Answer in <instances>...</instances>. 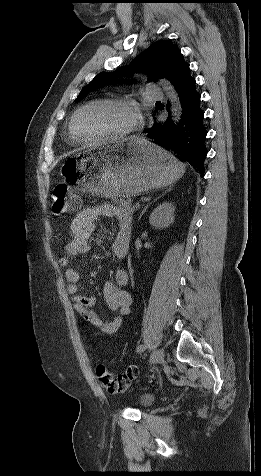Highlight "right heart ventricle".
I'll return each instance as SVG.
<instances>
[{"mask_svg": "<svg viewBox=\"0 0 261 476\" xmlns=\"http://www.w3.org/2000/svg\"><path fill=\"white\" fill-rule=\"evenodd\" d=\"M71 142L75 143V140L73 139L72 135L70 136Z\"/></svg>", "mask_w": 261, "mask_h": 476, "instance_id": "1", "label": "right heart ventricle"}]
</instances>
